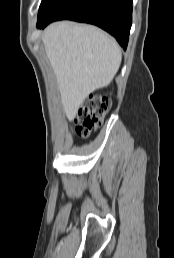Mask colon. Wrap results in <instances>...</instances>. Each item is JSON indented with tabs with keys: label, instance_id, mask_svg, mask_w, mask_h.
Wrapping results in <instances>:
<instances>
[{
	"label": "colon",
	"instance_id": "obj_1",
	"mask_svg": "<svg viewBox=\"0 0 174 258\" xmlns=\"http://www.w3.org/2000/svg\"><path fill=\"white\" fill-rule=\"evenodd\" d=\"M111 108V101L102 96L91 95L79 106L74 120V133L82 138L88 137L91 132L101 125Z\"/></svg>",
	"mask_w": 174,
	"mask_h": 258
}]
</instances>
